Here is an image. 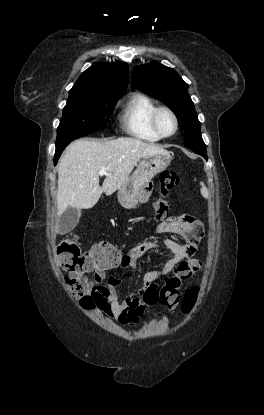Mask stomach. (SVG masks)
<instances>
[{"label": "stomach", "instance_id": "obj_1", "mask_svg": "<svg viewBox=\"0 0 264 415\" xmlns=\"http://www.w3.org/2000/svg\"><path fill=\"white\" fill-rule=\"evenodd\" d=\"M171 162L169 154H158L142 158L136 170L118 189V201L125 209L134 208L143 194L144 188L155 175L165 170Z\"/></svg>", "mask_w": 264, "mask_h": 415}]
</instances>
